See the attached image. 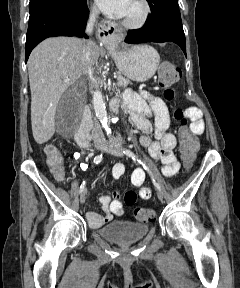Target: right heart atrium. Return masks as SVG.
Instances as JSON below:
<instances>
[{"mask_svg": "<svg viewBox=\"0 0 240 288\" xmlns=\"http://www.w3.org/2000/svg\"><path fill=\"white\" fill-rule=\"evenodd\" d=\"M91 12L93 15H97L98 11L95 7H92Z\"/></svg>", "mask_w": 240, "mask_h": 288, "instance_id": "right-heart-atrium-1", "label": "right heart atrium"}]
</instances>
